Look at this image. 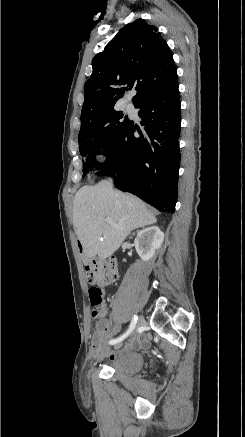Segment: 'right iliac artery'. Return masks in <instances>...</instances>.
<instances>
[{"instance_id":"obj_1","label":"right iliac artery","mask_w":245,"mask_h":437,"mask_svg":"<svg viewBox=\"0 0 245 437\" xmlns=\"http://www.w3.org/2000/svg\"><path fill=\"white\" fill-rule=\"evenodd\" d=\"M136 323H137V317L134 315L132 317V320H131V323H130L128 330L120 337L110 340L109 344L114 345V344H117V343L121 342L122 340H124L134 330Z\"/></svg>"}]
</instances>
